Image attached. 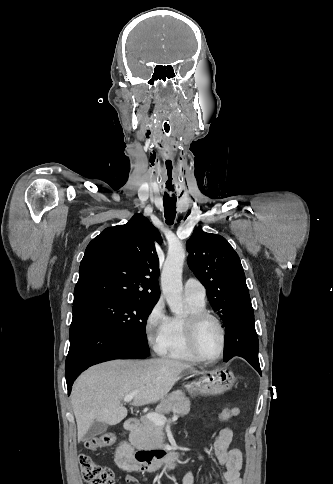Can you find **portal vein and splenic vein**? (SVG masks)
I'll return each mask as SVG.
<instances>
[{"mask_svg": "<svg viewBox=\"0 0 333 484\" xmlns=\"http://www.w3.org/2000/svg\"><path fill=\"white\" fill-rule=\"evenodd\" d=\"M135 395L136 393H131L129 395H126L123 400L125 402H130L135 397ZM145 417L157 425H165L167 421L166 417L159 413H148ZM177 419H178V416L172 417V421H176Z\"/></svg>", "mask_w": 333, "mask_h": 484, "instance_id": "obj_1", "label": "portal vein and splenic vein"}]
</instances>
